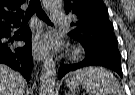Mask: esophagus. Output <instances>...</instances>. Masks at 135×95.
Segmentation results:
<instances>
[{
	"label": "esophagus",
	"mask_w": 135,
	"mask_h": 95,
	"mask_svg": "<svg viewBox=\"0 0 135 95\" xmlns=\"http://www.w3.org/2000/svg\"><path fill=\"white\" fill-rule=\"evenodd\" d=\"M40 35V29L37 26L32 40V55L34 60L40 62L46 58V53L38 48V39Z\"/></svg>",
	"instance_id": "34e87169"
}]
</instances>
